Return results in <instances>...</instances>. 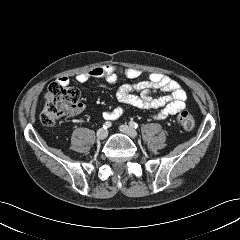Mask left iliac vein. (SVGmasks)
<instances>
[{
  "mask_svg": "<svg viewBox=\"0 0 240 240\" xmlns=\"http://www.w3.org/2000/svg\"><path fill=\"white\" fill-rule=\"evenodd\" d=\"M120 131L126 135H128L131 138H136L137 137V132L134 130L132 127L127 126V125H121L119 127Z\"/></svg>",
  "mask_w": 240,
  "mask_h": 240,
  "instance_id": "left-iliac-vein-1",
  "label": "left iliac vein"
}]
</instances>
